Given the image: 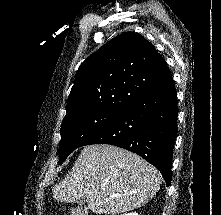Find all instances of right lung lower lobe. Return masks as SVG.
<instances>
[{
  "label": "right lung lower lobe",
  "instance_id": "98d812e1",
  "mask_svg": "<svg viewBox=\"0 0 221 215\" xmlns=\"http://www.w3.org/2000/svg\"><path fill=\"white\" fill-rule=\"evenodd\" d=\"M177 116L176 90L170 77L157 91L122 112L84 145L110 144L134 152L154 165L169 186Z\"/></svg>",
  "mask_w": 221,
  "mask_h": 215
}]
</instances>
